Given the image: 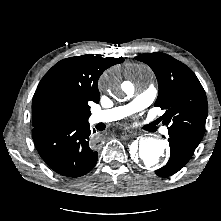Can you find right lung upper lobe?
I'll return each instance as SVG.
<instances>
[{
    "label": "right lung upper lobe",
    "mask_w": 221,
    "mask_h": 221,
    "mask_svg": "<svg viewBox=\"0 0 221 221\" xmlns=\"http://www.w3.org/2000/svg\"><path fill=\"white\" fill-rule=\"evenodd\" d=\"M122 57L83 55L55 64L40 81L32 100V126L87 121L90 102L98 103L97 82L109 67L122 63Z\"/></svg>",
    "instance_id": "1"
}]
</instances>
